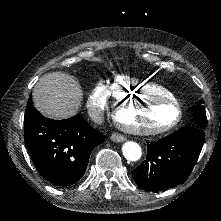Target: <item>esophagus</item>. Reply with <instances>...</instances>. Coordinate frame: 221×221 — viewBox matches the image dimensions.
Returning <instances> with one entry per match:
<instances>
[{"label": "esophagus", "instance_id": "1", "mask_svg": "<svg viewBox=\"0 0 221 221\" xmlns=\"http://www.w3.org/2000/svg\"><path fill=\"white\" fill-rule=\"evenodd\" d=\"M111 140L114 141V142H123V141L126 140V138L123 135L119 134V133H113L111 135Z\"/></svg>", "mask_w": 221, "mask_h": 221}]
</instances>
